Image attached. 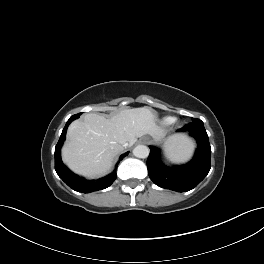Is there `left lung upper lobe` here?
Listing matches in <instances>:
<instances>
[{"mask_svg":"<svg viewBox=\"0 0 264 264\" xmlns=\"http://www.w3.org/2000/svg\"><path fill=\"white\" fill-rule=\"evenodd\" d=\"M192 121L195 122V121H200V120L199 119L192 118Z\"/></svg>","mask_w":264,"mask_h":264,"instance_id":"left-lung-upper-lobe-1","label":"left lung upper lobe"}]
</instances>
